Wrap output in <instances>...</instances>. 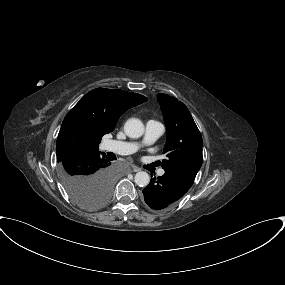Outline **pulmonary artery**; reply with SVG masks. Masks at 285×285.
Returning <instances> with one entry per match:
<instances>
[{
	"label": "pulmonary artery",
	"mask_w": 285,
	"mask_h": 285,
	"mask_svg": "<svg viewBox=\"0 0 285 285\" xmlns=\"http://www.w3.org/2000/svg\"><path fill=\"white\" fill-rule=\"evenodd\" d=\"M163 132L164 126L162 123L156 120H149L146 123L144 143H150L157 140L163 134ZM104 149L119 155H129L138 149V145L134 142L108 140L104 143ZM158 174L163 175L164 170H159Z\"/></svg>",
	"instance_id": "obj_1"
}]
</instances>
